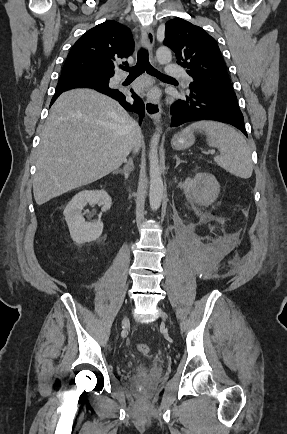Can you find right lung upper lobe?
<instances>
[{"mask_svg": "<svg viewBox=\"0 0 287 434\" xmlns=\"http://www.w3.org/2000/svg\"><path fill=\"white\" fill-rule=\"evenodd\" d=\"M134 50L128 28L107 20L87 31L72 47L62 72H87L112 77L119 59L127 58ZM58 84L92 85L83 81L59 80Z\"/></svg>", "mask_w": 287, "mask_h": 434, "instance_id": "1", "label": "right lung upper lobe"}]
</instances>
